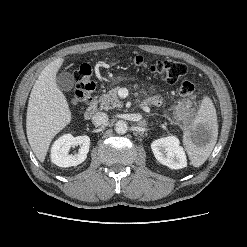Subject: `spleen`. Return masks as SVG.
I'll return each instance as SVG.
<instances>
[{"label": "spleen", "mask_w": 247, "mask_h": 247, "mask_svg": "<svg viewBox=\"0 0 247 247\" xmlns=\"http://www.w3.org/2000/svg\"><path fill=\"white\" fill-rule=\"evenodd\" d=\"M194 126H201L210 132L209 139L201 145H197L192 141L190 132L186 131L183 136V143L191 164L194 167H199L210 156L218 136L216 109L209 97L203 98L197 116L194 119Z\"/></svg>", "instance_id": "spleen-1"}]
</instances>
